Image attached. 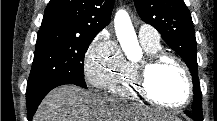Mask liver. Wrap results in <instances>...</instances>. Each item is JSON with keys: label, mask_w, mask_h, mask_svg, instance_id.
<instances>
[{"label": "liver", "mask_w": 217, "mask_h": 121, "mask_svg": "<svg viewBox=\"0 0 217 121\" xmlns=\"http://www.w3.org/2000/svg\"><path fill=\"white\" fill-rule=\"evenodd\" d=\"M152 117L141 107L124 100L63 85L48 93L33 121H139ZM166 118V113L158 112L154 116V120Z\"/></svg>", "instance_id": "liver-1"}]
</instances>
